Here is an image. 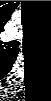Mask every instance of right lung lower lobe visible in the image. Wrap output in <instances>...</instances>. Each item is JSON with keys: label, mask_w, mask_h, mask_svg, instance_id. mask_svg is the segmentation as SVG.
<instances>
[{"label": "right lung lower lobe", "mask_w": 51, "mask_h": 101, "mask_svg": "<svg viewBox=\"0 0 51 101\" xmlns=\"http://www.w3.org/2000/svg\"><path fill=\"white\" fill-rule=\"evenodd\" d=\"M16 55H17V53L14 55V57L12 58V60L10 61V63L7 64V65L4 67V70H2L4 73H7V72L10 71V69H11V67H12V65H13V62H14L15 59H16Z\"/></svg>", "instance_id": "1"}]
</instances>
